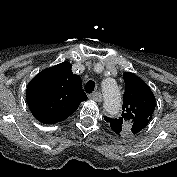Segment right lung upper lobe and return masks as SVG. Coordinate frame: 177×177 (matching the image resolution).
Returning <instances> with one entry per match:
<instances>
[{"instance_id": "obj_1", "label": "right lung upper lobe", "mask_w": 177, "mask_h": 177, "mask_svg": "<svg viewBox=\"0 0 177 177\" xmlns=\"http://www.w3.org/2000/svg\"><path fill=\"white\" fill-rule=\"evenodd\" d=\"M63 62L43 70L27 86L26 99L33 116L43 124H54L73 114L87 96L81 78Z\"/></svg>"}]
</instances>
